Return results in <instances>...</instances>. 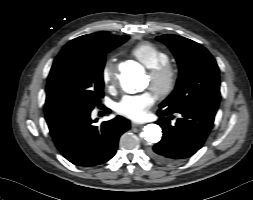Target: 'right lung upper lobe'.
I'll use <instances>...</instances> for the list:
<instances>
[{
	"label": "right lung upper lobe",
	"instance_id": "right-lung-upper-lobe-1",
	"mask_svg": "<svg viewBox=\"0 0 253 200\" xmlns=\"http://www.w3.org/2000/svg\"><path fill=\"white\" fill-rule=\"evenodd\" d=\"M115 36L104 33H93L83 35L71 40L65 47L97 48L99 45L109 41Z\"/></svg>",
	"mask_w": 253,
	"mask_h": 200
}]
</instances>
